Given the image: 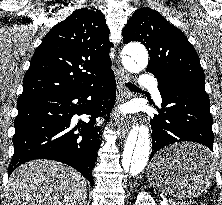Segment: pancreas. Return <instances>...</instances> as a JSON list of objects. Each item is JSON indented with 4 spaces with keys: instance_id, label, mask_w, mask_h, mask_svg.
Segmentation results:
<instances>
[{
    "instance_id": "cf45deb5",
    "label": "pancreas",
    "mask_w": 222,
    "mask_h": 205,
    "mask_svg": "<svg viewBox=\"0 0 222 205\" xmlns=\"http://www.w3.org/2000/svg\"><path fill=\"white\" fill-rule=\"evenodd\" d=\"M168 205H175V203H173V202L170 203V202H169Z\"/></svg>"
}]
</instances>
